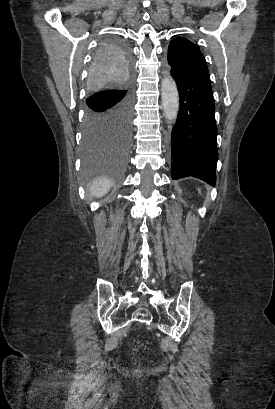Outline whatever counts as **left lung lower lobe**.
Here are the masks:
<instances>
[{
    "label": "left lung lower lobe",
    "mask_w": 275,
    "mask_h": 409,
    "mask_svg": "<svg viewBox=\"0 0 275 409\" xmlns=\"http://www.w3.org/2000/svg\"><path fill=\"white\" fill-rule=\"evenodd\" d=\"M180 110L171 134L172 179L196 177L216 183L217 126L211 84L171 70Z\"/></svg>",
    "instance_id": "1"
}]
</instances>
